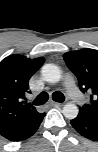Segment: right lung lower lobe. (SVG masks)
Listing matches in <instances>:
<instances>
[{"label": "right lung lower lobe", "mask_w": 98, "mask_h": 152, "mask_svg": "<svg viewBox=\"0 0 98 152\" xmlns=\"http://www.w3.org/2000/svg\"><path fill=\"white\" fill-rule=\"evenodd\" d=\"M44 116L45 113H39L22 128L13 132L12 134H9L5 138L8 139L9 141H21L31 137L40 126Z\"/></svg>", "instance_id": "98d812e1"}]
</instances>
